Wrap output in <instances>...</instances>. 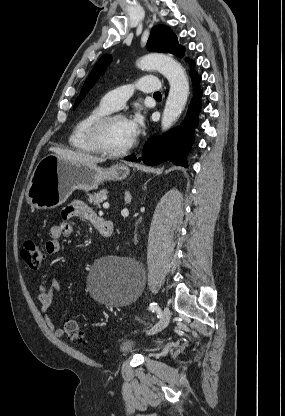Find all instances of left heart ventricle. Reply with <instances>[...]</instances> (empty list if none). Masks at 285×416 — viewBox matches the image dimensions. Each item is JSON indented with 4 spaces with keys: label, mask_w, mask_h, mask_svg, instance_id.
I'll return each instance as SVG.
<instances>
[{
    "label": "left heart ventricle",
    "mask_w": 285,
    "mask_h": 416,
    "mask_svg": "<svg viewBox=\"0 0 285 416\" xmlns=\"http://www.w3.org/2000/svg\"><path fill=\"white\" fill-rule=\"evenodd\" d=\"M103 141L108 148L113 150L126 147L131 140L126 132L125 119L111 121L104 130Z\"/></svg>",
    "instance_id": "1"
}]
</instances>
